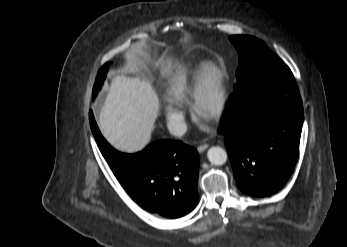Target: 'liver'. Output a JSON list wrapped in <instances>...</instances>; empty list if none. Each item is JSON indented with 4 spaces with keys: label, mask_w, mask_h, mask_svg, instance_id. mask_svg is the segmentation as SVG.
<instances>
[{
    "label": "liver",
    "mask_w": 347,
    "mask_h": 247,
    "mask_svg": "<svg viewBox=\"0 0 347 247\" xmlns=\"http://www.w3.org/2000/svg\"><path fill=\"white\" fill-rule=\"evenodd\" d=\"M155 65L166 75L173 67L171 58L163 56ZM159 107V97L149 78L117 75L111 80L99 113V129L116 150L140 152L151 141Z\"/></svg>",
    "instance_id": "obj_1"
}]
</instances>
